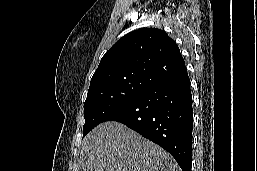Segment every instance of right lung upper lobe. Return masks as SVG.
I'll return each instance as SVG.
<instances>
[{"mask_svg": "<svg viewBox=\"0 0 257 171\" xmlns=\"http://www.w3.org/2000/svg\"><path fill=\"white\" fill-rule=\"evenodd\" d=\"M185 67L174 40L156 28H141L120 38L102 57L89 89L115 83L150 86Z\"/></svg>", "mask_w": 257, "mask_h": 171, "instance_id": "cb5924a9", "label": "right lung upper lobe"}]
</instances>
